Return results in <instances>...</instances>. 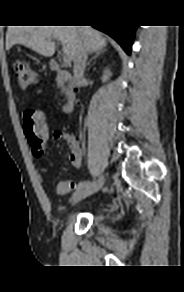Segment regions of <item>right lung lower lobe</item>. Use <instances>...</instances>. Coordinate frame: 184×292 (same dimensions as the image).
Returning a JSON list of instances; mask_svg holds the SVG:
<instances>
[{
  "instance_id": "98d812e1",
  "label": "right lung lower lobe",
  "mask_w": 184,
  "mask_h": 292,
  "mask_svg": "<svg viewBox=\"0 0 184 292\" xmlns=\"http://www.w3.org/2000/svg\"><path fill=\"white\" fill-rule=\"evenodd\" d=\"M93 27L110 35L121 45L127 54H130L134 32L137 26L98 24L93 25Z\"/></svg>"
}]
</instances>
